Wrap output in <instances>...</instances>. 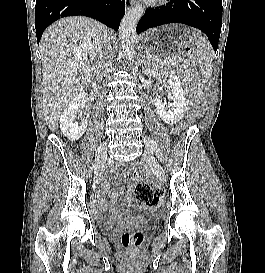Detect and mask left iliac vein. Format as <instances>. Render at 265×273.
Instances as JSON below:
<instances>
[{
    "label": "left iliac vein",
    "instance_id": "left-iliac-vein-1",
    "mask_svg": "<svg viewBox=\"0 0 265 273\" xmlns=\"http://www.w3.org/2000/svg\"><path fill=\"white\" fill-rule=\"evenodd\" d=\"M144 143L146 144L147 142H151L154 147L157 146V144L155 143V141L149 137V136H145L143 138ZM149 148V146H147ZM158 148V147H157ZM150 149V148H149ZM143 158L145 160V162L149 165V167L151 168V170L153 171V173H155L157 175V177L161 180V181H165L166 180V175L165 172L163 170V168L161 167V165L159 164V162L156 160V158L150 153L149 150H146L144 152Z\"/></svg>",
    "mask_w": 265,
    "mask_h": 273
}]
</instances>
